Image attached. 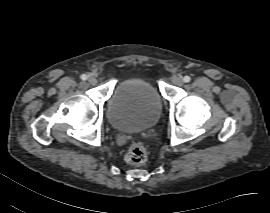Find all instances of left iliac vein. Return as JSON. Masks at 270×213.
I'll use <instances>...</instances> for the list:
<instances>
[{"label":"left iliac vein","mask_w":270,"mask_h":213,"mask_svg":"<svg viewBox=\"0 0 270 213\" xmlns=\"http://www.w3.org/2000/svg\"><path fill=\"white\" fill-rule=\"evenodd\" d=\"M172 82L174 85H177V86L183 85V79H182V77H179V76L173 77Z\"/></svg>","instance_id":"4c4485c4"}]
</instances>
